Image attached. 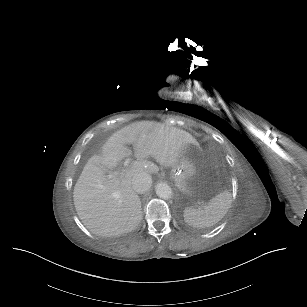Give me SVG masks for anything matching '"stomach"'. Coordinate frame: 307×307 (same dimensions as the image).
<instances>
[{"mask_svg": "<svg viewBox=\"0 0 307 307\" xmlns=\"http://www.w3.org/2000/svg\"><path fill=\"white\" fill-rule=\"evenodd\" d=\"M201 154L202 150L199 146L190 144L186 147L180 161L172 168L171 177L182 192L187 193L192 189Z\"/></svg>", "mask_w": 307, "mask_h": 307, "instance_id": "stomach-1", "label": "stomach"}]
</instances>
